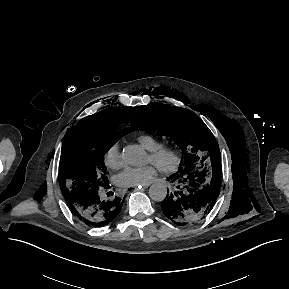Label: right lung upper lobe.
<instances>
[{"label": "right lung upper lobe", "mask_w": 289, "mask_h": 289, "mask_svg": "<svg viewBox=\"0 0 289 289\" xmlns=\"http://www.w3.org/2000/svg\"><path fill=\"white\" fill-rule=\"evenodd\" d=\"M135 110L136 107L126 106L120 108L111 107L104 109L98 113L87 116L80 120L73 128L70 135L86 128H101L107 126H115L121 129L124 126H127L128 128H125L124 130L135 131L137 129V124L135 125V120L137 119ZM65 143L63 144V146L65 145Z\"/></svg>", "instance_id": "right-lung-upper-lobe-1"}]
</instances>
